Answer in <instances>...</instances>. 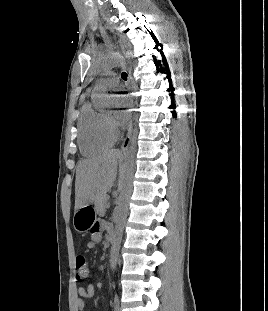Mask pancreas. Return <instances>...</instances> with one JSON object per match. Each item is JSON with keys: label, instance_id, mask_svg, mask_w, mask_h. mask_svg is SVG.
<instances>
[{"label": "pancreas", "instance_id": "cf45deb5", "mask_svg": "<svg viewBox=\"0 0 268 311\" xmlns=\"http://www.w3.org/2000/svg\"><path fill=\"white\" fill-rule=\"evenodd\" d=\"M108 206V198L106 196L99 197L95 200V210L98 214H104Z\"/></svg>", "mask_w": 268, "mask_h": 311}]
</instances>
